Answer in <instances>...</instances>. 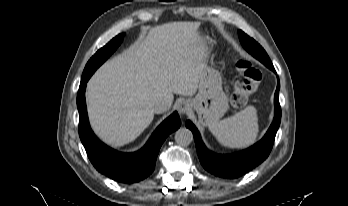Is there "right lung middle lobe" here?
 Segmentation results:
<instances>
[{"mask_svg": "<svg viewBox=\"0 0 348 206\" xmlns=\"http://www.w3.org/2000/svg\"><path fill=\"white\" fill-rule=\"evenodd\" d=\"M122 38V34L113 38L106 46L98 50V52L89 60L88 63H91L92 60H97L98 64H101L114 52L117 46L121 43Z\"/></svg>", "mask_w": 348, "mask_h": 206, "instance_id": "1", "label": "right lung middle lobe"}]
</instances>
